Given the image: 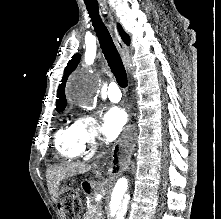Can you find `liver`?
Here are the masks:
<instances>
[{"label": "liver", "instance_id": "1", "mask_svg": "<svg viewBox=\"0 0 221 219\" xmlns=\"http://www.w3.org/2000/svg\"><path fill=\"white\" fill-rule=\"evenodd\" d=\"M94 167L83 162H65L61 165L50 167L47 170V185L49 193L54 202H57L58 190L60 182L73 177L77 174L89 172ZM101 193H105V189L101 188Z\"/></svg>", "mask_w": 221, "mask_h": 219}]
</instances>
